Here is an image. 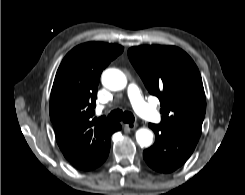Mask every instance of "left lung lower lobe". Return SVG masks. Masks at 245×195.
Listing matches in <instances>:
<instances>
[{
  "label": "left lung lower lobe",
  "instance_id": "obj_1",
  "mask_svg": "<svg viewBox=\"0 0 245 195\" xmlns=\"http://www.w3.org/2000/svg\"><path fill=\"white\" fill-rule=\"evenodd\" d=\"M157 141L143 152L147 164L154 170L170 173L183 165L194 151L198 137L168 126L149 124Z\"/></svg>",
  "mask_w": 245,
  "mask_h": 195
}]
</instances>
